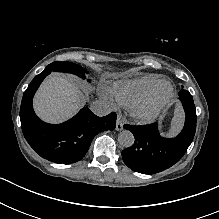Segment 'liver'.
Listing matches in <instances>:
<instances>
[{"label":"liver","instance_id":"1","mask_svg":"<svg viewBox=\"0 0 219 219\" xmlns=\"http://www.w3.org/2000/svg\"><path fill=\"white\" fill-rule=\"evenodd\" d=\"M79 87L60 74H52L41 84L33 100L36 114L45 122L61 123L81 106Z\"/></svg>","mask_w":219,"mask_h":219}]
</instances>
